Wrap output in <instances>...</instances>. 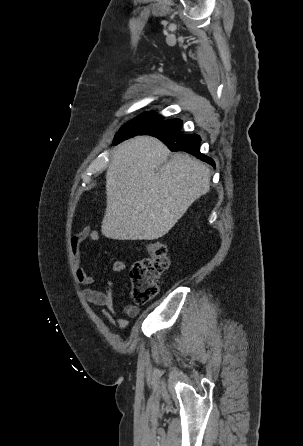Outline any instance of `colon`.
<instances>
[{"instance_id": "colon-1", "label": "colon", "mask_w": 303, "mask_h": 446, "mask_svg": "<svg viewBox=\"0 0 303 446\" xmlns=\"http://www.w3.org/2000/svg\"><path fill=\"white\" fill-rule=\"evenodd\" d=\"M145 250L149 256L137 261L129 273L131 296L138 304H145L158 295L157 280L170 266L164 243L150 241L145 244Z\"/></svg>"}]
</instances>
